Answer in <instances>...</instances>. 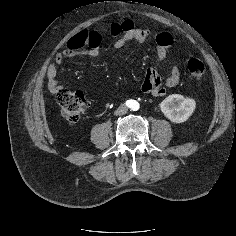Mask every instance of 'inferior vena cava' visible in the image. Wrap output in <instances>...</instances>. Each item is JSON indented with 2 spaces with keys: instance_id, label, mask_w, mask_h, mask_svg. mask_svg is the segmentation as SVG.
I'll list each match as a JSON object with an SVG mask.
<instances>
[{
  "instance_id": "obj_1",
  "label": "inferior vena cava",
  "mask_w": 236,
  "mask_h": 236,
  "mask_svg": "<svg viewBox=\"0 0 236 236\" xmlns=\"http://www.w3.org/2000/svg\"><path fill=\"white\" fill-rule=\"evenodd\" d=\"M128 111V108L126 105L122 104L120 107L115 111V115H124Z\"/></svg>"
}]
</instances>
